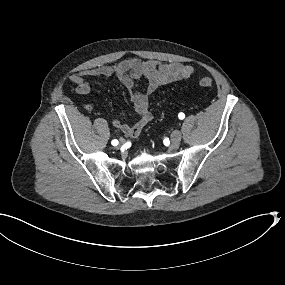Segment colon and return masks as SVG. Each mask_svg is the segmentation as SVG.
<instances>
[{
    "instance_id": "colon-1",
    "label": "colon",
    "mask_w": 285,
    "mask_h": 285,
    "mask_svg": "<svg viewBox=\"0 0 285 285\" xmlns=\"http://www.w3.org/2000/svg\"><path fill=\"white\" fill-rule=\"evenodd\" d=\"M198 85L203 88H212L214 86V82L208 77H202L198 80Z\"/></svg>"
}]
</instances>
